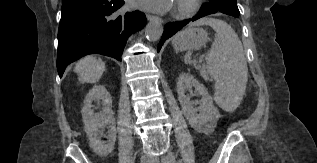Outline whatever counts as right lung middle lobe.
Listing matches in <instances>:
<instances>
[{
  "label": "right lung middle lobe",
  "instance_id": "right-lung-middle-lobe-1",
  "mask_svg": "<svg viewBox=\"0 0 317 163\" xmlns=\"http://www.w3.org/2000/svg\"><path fill=\"white\" fill-rule=\"evenodd\" d=\"M80 1L81 0H71V1L63 2L62 6L74 4V3H77V2H80Z\"/></svg>",
  "mask_w": 317,
  "mask_h": 163
}]
</instances>
